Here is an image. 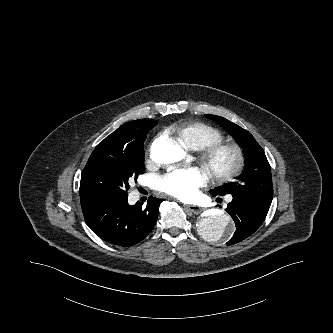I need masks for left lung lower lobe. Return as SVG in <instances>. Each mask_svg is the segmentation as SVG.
Segmentation results:
<instances>
[{
  "label": "left lung lower lobe",
  "mask_w": 333,
  "mask_h": 333,
  "mask_svg": "<svg viewBox=\"0 0 333 333\" xmlns=\"http://www.w3.org/2000/svg\"><path fill=\"white\" fill-rule=\"evenodd\" d=\"M270 205L271 201L267 200L233 196L226 211L235 221L236 231L226 244H236L253 234L265 220Z\"/></svg>",
  "instance_id": "0a47b994"
}]
</instances>
